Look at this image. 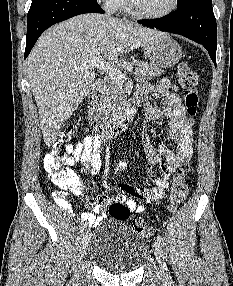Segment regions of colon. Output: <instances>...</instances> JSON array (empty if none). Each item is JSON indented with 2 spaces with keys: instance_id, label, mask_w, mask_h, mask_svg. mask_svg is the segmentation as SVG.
<instances>
[{
  "instance_id": "obj_1",
  "label": "colon",
  "mask_w": 233,
  "mask_h": 286,
  "mask_svg": "<svg viewBox=\"0 0 233 286\" xmlns=\"http://www.w3.org/2000/svg\"><path fill=\"white\" fill-rule=\"evenodd\" d=\"M177 76L180 85L184 89L185 105L190 117L189 123L191 124L193 117L197 113L200 101L197 74L190 65L182 62L178 66ZM75 128L76 126H73L65 131L43 159L45 171L52 182L63 191L81 187L74 171L64 166L73 153L72 136ZM188 171L189 158L183 161L173 179L169 196V210L171 212H175L186 199L188 192L186 176ZM108 212L112 218L126 220L130 217L131 209L123 202L114 201L109 205ZM132 226L139 234L144 236L152 235V229L141 217H133Z\"/></svg>"
}]
</instances>
